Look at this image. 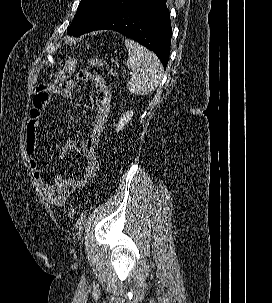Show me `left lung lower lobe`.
I'll use <instances>...</instances> for the list:
<instances>
[{
	"mask_svg": "<svg viewBox=\"0 0 272 303\" xmlns=\"http://www.w3.org/2000/svg\"><path fill=\"white\" fill-rule=\"evenodd\" d=\"M166 1L141 0L91 31L102 29L117 31L153 51L166 67L172 37L170 13Z\"/></svg>",
	"mask_w": 272,
	"mask_h": 303,
	"instance_id": "obj_1",
	"label": "left lung lower lobe"
}]
</instances>
